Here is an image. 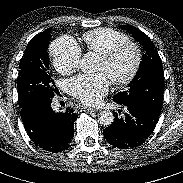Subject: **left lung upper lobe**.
<instances>
[{"label":"left lung upper lobe","mask_w":183,"mask_h":183,"mask_svg":"<svg viewBox=\"0 0 183 183\" xmlns=\"http://www.w3.org/2000/svg\"><path fill=\"white\" fill-rule=\"evenodd\" d=\"M143 46L140 68L128 89L113 96L118 104L135 103L160 115L163 104L164 74L161 58L151 39L132 25H122Z\"/></svg>","instance_id":"1"}]
</instances>
